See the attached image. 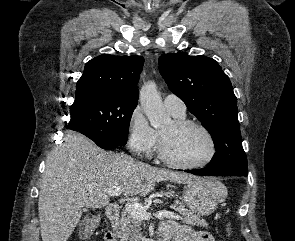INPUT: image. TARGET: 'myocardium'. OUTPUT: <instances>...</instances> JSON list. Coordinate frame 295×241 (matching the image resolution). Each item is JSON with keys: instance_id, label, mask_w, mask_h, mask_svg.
<instances>
[{"instance_id": "obj_1", "label": "myocardium", "mask_w": 295, "mask_h": 241, "mask_svg": "<svg viewBox=\"0 0 295 241\" xmlns=\"http://www.w3.org/2000/svg\"><path fill=\"white\" fill-rule=\"evenodd\" d=\"M173 125L177 129H184L187 127H194V128L199 129L206 136V138L209 141L210 152H209V155L203 161L198 162V163L179 162V161L173 159L167 153L165 139L161 134H159L158 156L163 162H165L166 164H169L171 166L181 168V169L196 170V169H200V168H204V167L208 166L215 159V157L217 155V151H218L217 143H216V140H215L213 134L206 126H204L203 124H201L197 121L187 120V119H175L173 121Z\"/></svg>"}]
</instances>
